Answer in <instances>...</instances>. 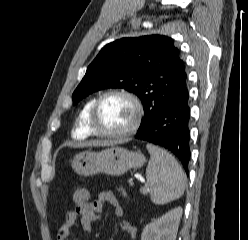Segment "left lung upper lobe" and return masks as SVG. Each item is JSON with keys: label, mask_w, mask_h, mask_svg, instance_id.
<instances>
[{"label": "left lung upper lobe", "mask_w": 248, "mask_h": 240, "mask_svg": "<svg viewBox=\"0 0 248 240\" xmlns=\"http://www.w3.org/2000/svg\"><path fill=\"white\" fill-rule=\"evenodd\" d=\"M105 88H124L141 100L143 130L171 99L187 90L185 62L172 38L147 35L122 38L104 46L72 95L77 104Z\"/></svg>", "instance_id": "5c2ea615"}]
</instances>
